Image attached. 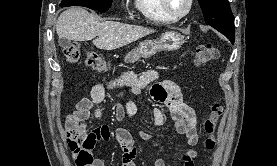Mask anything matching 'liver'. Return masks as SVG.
I'll list each match as a JSON object with an SVG mask.
<instances>
[{"instance_id": "liver-1", "label": "liver", "mask_w": 277, "mask_h": 166, "mask_svg": "<svg viewBox=\"0 0 277 166\" xmlns=\"http://www.w3.org/2000/svg\"><path fill=\"white\" fill-rule=\"evenodd\" d=\"M155 30L142 26L129 25L115 21L100 22L85 8L72 7L62 12L56 22V33L60 38L73 41L93 40V44L104 50L126 46Z\"/></svg>"}]
</instances>
